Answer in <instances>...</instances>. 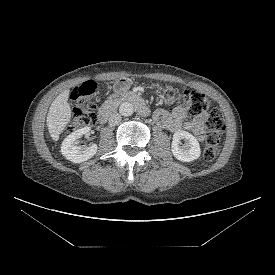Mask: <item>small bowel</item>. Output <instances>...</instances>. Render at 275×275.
Wrapping results in <instances>:
<instances>
[{
	"label": "small bowel",
	"instance_id": "c3829d8e",
	"mask_svg": "<svg viewBox=\"0 0 275 275\" xmlns=\"http://www.w3.org/2000/svg\"><path fill=\"white\" fill-rule=\"evenodd\" d=\"M129 87L126 79H120L114 84L116 92H124ZM156 123L171 132H177L181 129L191 131L198 140L205 137L204 125L207 120V113L203 112L192 119H187V111L182 105H178L171 112L165 109H158L154 114Z\"/></svg>",
	"mask_w": 275,
	"mask_h": 275
}]
</instances>
